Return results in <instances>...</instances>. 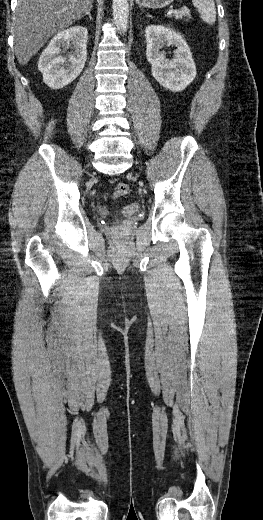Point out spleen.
<instances>
[{
	"label": "spleen",
	"mask_w": 263,
	"mask_h": 520,
	"mask_svg": "<svg viewBox=\"0 0 263 520\" xmlns=\"http://www.w3.org/2000/svg\"><path fill=\"white\" fill-rule=\"evenodd\" d=\"M192 3L197 7L201 14V19L208 23L213 24L216 20V8L214 0H192Z\"/></svg>",
	"instance_id": "obj_1"
}]
</instances>
